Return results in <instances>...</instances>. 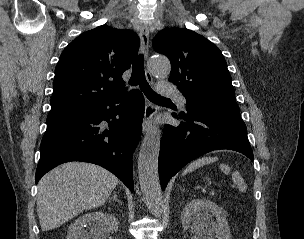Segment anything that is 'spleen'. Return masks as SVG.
I'll use <instances>...</instances> for the list:
<instances>
[{
    "mask_svg": "<svg viewBox=\"0 0 304 239\" xmlns=\"http://www.w3.org/2000/svg\"><path fill=\"white\" fill-rule=\"evenodd\" d=\"M218 158L217 157H202L199 158L193 162H191L183 171V175H186L190 172H193L194 170H196L197 168L203 166V165H207L210 163H213L215 161H217ZM219 168L221 171H223L225 174H229L231 171V168L227 165V164H220ZM232 179L234 181L235 184H237L238 188L240 191L245 192L247 190V186L243 180V178L241 177L239 172H234L232 174Z\"/></svg>",
    "mask_w": 304,
    "mask_h": 239,
    "instance_id": "obj_1",
    "label": "spleen"
}]
</instances>
